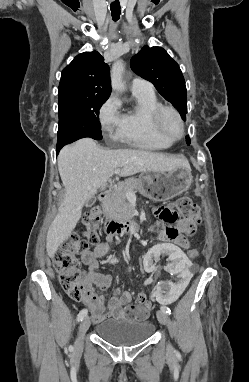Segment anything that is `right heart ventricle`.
I'll list each match as a JSON object with an SVG mask.
<instances>
[{
  "label": "right heart ventricle",
  "mask_w": 249,
  "mask_h": 382,
  "mask_svg": "<svg viewBox=\"0 0 249 382\" xmlns=\"http://www.w3.org/2000/svg\"><path fill=\"white\" fill-rule=\"evenodd\" d=\"M136 106L124 114V123L117 134L127 144L146 150L169 148L173 141L163 137L153 123V112L162 104L155 93L132 92Z\"/></svg>",
  "instance_id": "obj_1"
}]
</instances>
